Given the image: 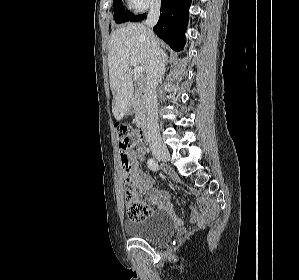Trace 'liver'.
Segmentation results:
<instances>
[{"instance_id": "1", "label": "liver", "mask_w": 299, "mask_h": 280, "mask_svg": "<svg viewBox=\"0 0 299 280\" xmlns=\"http://www.w3.org/2000/svg\"><path fill=\"white\" fill-rule=\"evenodd\" d=\"M150 38L148 29L140 23H129L116 29L108 43L110 88L113 93L112 112L117 121L132 105L133 80L130 58L147 71L150 62Z\"/></svg>"}]
</instances>
